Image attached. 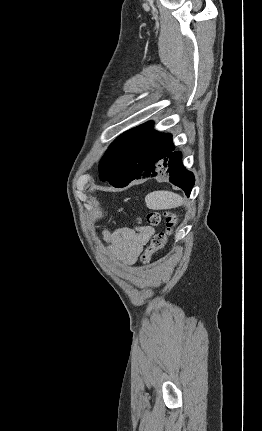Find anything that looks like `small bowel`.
Returning a JSON list of instances; mask_svg holds the SVG:
<instances>
[{
    "label": "small bowel",
    "mask_w": 262,
    "mask_h": 431,
    "mask_svg": "<svg viewBox=\"0 0 262 431\" xmlns=\"http://www.w3.org/2000/svg\"><path fill=\"white\" fill-rule=\"evenodd\" d=\"M153 233L152 228L140 229L120 228L115 233H104L108 242V249L127 264L134 265L144 245L149 241Z\"/></svg>",
    "instance_id": "c3829d8e"
}]
</instances>
